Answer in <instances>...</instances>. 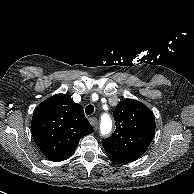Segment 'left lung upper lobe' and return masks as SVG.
Segmentation results:
<instances>
[{
    "mask_svg": "<svg viewBox=\"0 0 194 194\" xmlns=\"http://www.w3.org/2000/svg\"><path fill=\"white\" fill-rule=\"evenodd\" d=\"M116 130L102 145L110 159L129 163L145 153L155 133V117L144 104L122 100L113 112Z\"/></svg>",
    "mask_w": 194,
    "mask_h": 194,
    "instance_id": "5c2ea615",
    "label": "left lung upper lobe"
}]
</instances>
